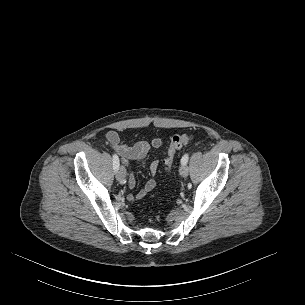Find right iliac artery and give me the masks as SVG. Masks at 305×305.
Here are the masks:
<instances>
[{
	"instance_id": "obj_1",
	"label": "right iliac artery",
	"mask_w": 305,
	"mask_h": 305,
	"mask_svg": "<svg viewBox=\"0 0 305 305\" xmlns=\"http://www.w3.org/2000/svg\"><path fill=\"white\" fill-rule=\"evenodd\" d=\"M119 165H120V163H119L118 156L116 154H113V169H114V171L118 170Z\"/></svg>"
}]
</instances>
